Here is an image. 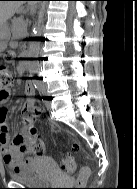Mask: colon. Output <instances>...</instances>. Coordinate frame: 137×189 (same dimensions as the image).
I'll use <instances>...</instances> for the list:
<instances>
[{"instance_id":"5ec220e1","label":"colon","mask_w":137,"mask_h":189,"mask_svg":"<svg viewBox=\"0 0 137 189\" xmlns=\"http://www.w3.org/2000/svg\"><path fill=\"white\" fill-rule=\"evenodd\" d=\"M13 81V72L12 70L3 64H0V98H6L7 88L11 85ZM26 113L30 118H36L41 115L42 107L37 104H32L26 107ZM30 136L26 137L24 144L25 146L36 155H43L45 151V145L43 141L37 136L36 130L34 127L29 128ZM75 150L78 151V147H75ZM62 170L65 173H73L76 169V162L73 157L65 156L61 164ZM89 171H85L82 175L83 178H87Z\"/></svg>"}]
</instances>
